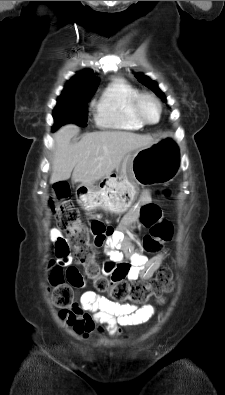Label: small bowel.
Returning <instances> with one entry per match:
<instances>
[{
    "mask_svg": "<svg viewBox=\"0 0 225 395\" xmlns=\"http://www.w3.org/2000/svg\"><path fill=\"white\" fill-rule=\"evenodd\" d=\"M138 216V208H132L125 216L122 230L117 232L98 220L92 222L94 244L97 248L104 247L109 256L102 267V273L111 279H126L130 282L148 280L166 257V251L147 257L123 241L124 229L136 222ZM50 238L56 254V266L66 270L67 281H71V291L83 292L78 303L59 312V317L76 335L88 338L93 333L106 332L110 336H119L123 328L140 325L152 317L155 309L151 305L138 308L130 304H117L96 294V288H87L86 279H82L81 267H75V263H71L73 249L68 237H62L58 229H52Z\"/></svg>",
    "mask_w": 225,
    "mask_h": 395,
    "instance_id": "small-bowel-1",
    "label": "small bowel"
}]
</instances>
